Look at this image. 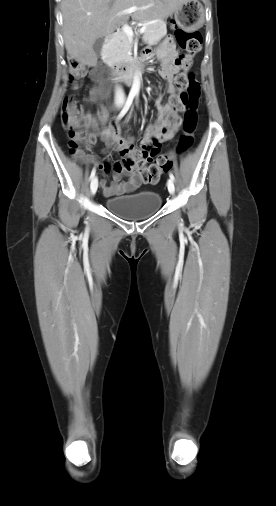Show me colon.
<instances>
[{
	"label": "colon",
	"mask_w": 276,
	"mask_h": 506,
	"mask_svg": "<svg viewBox=\"0 0 276 506\" xmlns=\"http://www.w3.org/2000/svg\"><path fill=\"white\" fill-rule=\"evenodd\" d=\"M177 35L179 45L185 50V54L179 59V66L182 72L175 77L177 92L170 98L173 111L168 115V122L171 125L180 123L176 110L184 112L182 119L183 133L179 138L178 151L186 152L193 144V135L197 128V108L200 99V85L195 76L189 73L192 57L200 50L202 37L199 32L186 33L177 27L175 22L171 24ZM70 74L75 79L83 75L84 69L76 63V57H71ZM100 78H103V71H98ZM62 124L69 138L68 149L72 157L78 158L81 155L82 147L90 148L95 137L88 134L86 129L92 124L88 118L79 99L75 95H68L62 105ZM110 142L117 139L114 136L107 138ZM118 146L124 156L123 166L126 170L138 173L146 184H156L161 175L169 168L170 161L166 156H158L154 163L148 164V157L155 156L159 150L160 142L152 139L149 144L142 148H136L130 138L119 141Z\"/></svg>",
	"instance_id": "1"
}]
</instances>
